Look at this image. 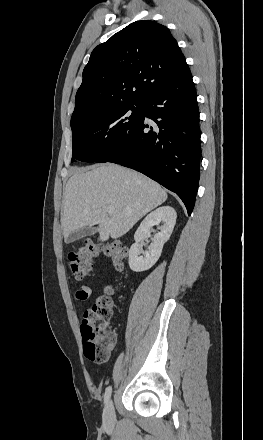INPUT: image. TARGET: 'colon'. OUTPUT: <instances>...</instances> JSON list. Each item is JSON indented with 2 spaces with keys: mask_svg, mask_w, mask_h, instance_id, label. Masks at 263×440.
Returning <instances> with one entry per match:
<instances>
[{
  "mask_svg": "<svg viewBox=\"0 0 263 440\" xmlns=\"http://www.w3.org/2000/svg\"><path fill=\"white\" fill-rule=\"evenodd\" d=\"M104 253L110 259L113 267L121 270L124 267L127 250L118 240L99 244L90 240L84 243L68 256L69 268L77 280L85 279L92 268V263L99 254ZM107 294L84 312L81 323L83 352L87 359L103 361L114 345V334L111 330L113 318L112 289H106Z\"/></svg>",
  "mask_w": 263,
  "mask_h": 440,
  "instance_id": "obj_1",
  "label": "colon"
}]
</instances>
